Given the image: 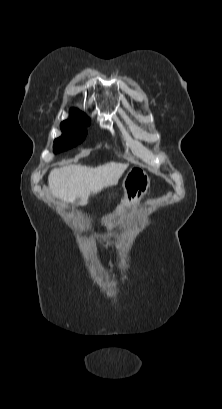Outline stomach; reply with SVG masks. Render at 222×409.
Returning <instances> with one entry per match:
<instances>
[{
	"label": "stomach",
	"instance_id": "stomach-1",
	"mask_svg": "<svg viewBox=\"0 0 222 409\" xmlns=\"http://www.w3.org/2000/svg\"><path fill=\"white\" fill-rule=\"evenodd\" d=\"M122 186L124 198L116 213L102 219V223L109 232L120 226L128 213L140 203L150 188V178L143 169L134 167L125 175Z\"/></svg>",
	"mask_w": 222,
	"mask_h": 409
}]
</instances>
